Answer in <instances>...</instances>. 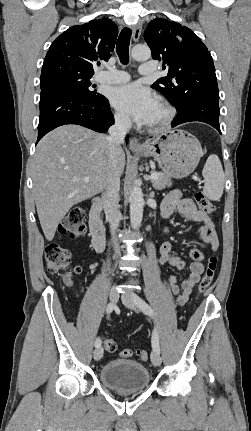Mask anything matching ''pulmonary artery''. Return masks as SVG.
Segmentation results:
<instances>
[{
    "label": "pulmonary artery",
    "mask_w": 251,
    "mask_h": 431,
    "mask_svg": "<svg viewBox=\"0 0 251 431\" xmlns=\"http://www.w3.org/2000/svg\"><path fill=\"white\" fill-rule=\"evenodd\" d=\"M157 70V65L154 62L143 63L139 72L141 75H150ZM130 75L125 71L110 69L103 71L98 75V81L108 84H122L129 81Z\"/></svg>",
    "instance_id": "e3ab8cb5"
}]
</instances>
